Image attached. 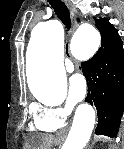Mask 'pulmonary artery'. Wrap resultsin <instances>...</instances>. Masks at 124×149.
Segmentation results:
<instances>
[{
  "mask_svg": "<svg viewBox=\"0 0 124 149\" xmlns=\"http://www.w3.org/2000/svg\"><path fill=\"white\" fill-rule=\"evenodd\" d=\"M65 68L68 72H72L74 70V65L72 64L71 60H65Z\"/></svg>",
  "mask_w": 124,
  "mask_h": 149,
  "instance_id": "e3ab8cb5",
  "label": "pulmonary artery"
}]
</instances>
